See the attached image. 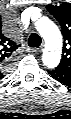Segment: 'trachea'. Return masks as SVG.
<instances>
[{
	"label": "trachea",
	"mask_w": 71,
	"mask_h": 119,
	"mask_svg": "<svg viewBox=\"0 0 71 119\" xmlns=\"http://www.w3.org/2000/svg\"><path fill=\"white\" fill-rule=\"evenodd\" d=\"M40 44H41V37L36 33L31 34L28 39V45L30 47H39Z\"/></svg>",
	"instance_id": "3493384b"
}]
</instances>
